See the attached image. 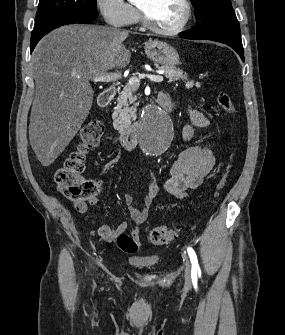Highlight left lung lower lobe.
<instances>
[{"instance_id": "0a47b994", "label": "left lung lower lobe", "mask_w": 285, "mask_h": 335, "mask_svg": "<svg viewBox=\"0 0 285 335\" xmlns=\"http://www.w3.org/2000/svg\"><path fill=\"white\" fill-rule=\"evenodd\" d=\"M192 40H212L232 47L244 61L239 22L235 13H215L200 21L194 29L183 36Z\"/></svg>"}]
</instances>
